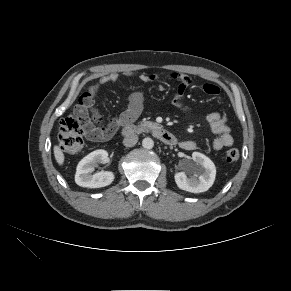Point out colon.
Wrapping results in <instances>:
<instances>
[{
  "instance_id": "obj_1",
  "label": "colon",
  "mask_w": 291,
  "mask_h": 291,
  "mask_svg": "<svg viewBox=\"0 0 291 291\" xmlns=\"http://www.w3.org/2000/svg\"><path fill=\"white\" fill-rule=\"evenodd\" d=\"M94 98L95 96L91 92L84 93L79 99L76 110L61 121L58 138L64 152L75 154L82 150L83 136L88 135L92 128L88 111L93 106ZM107 126L113 135L118 125L111 121ZM239 156L236 148H230L225 153V159L230 163L236 162Z\"/></svg>"
}]
</instances>
